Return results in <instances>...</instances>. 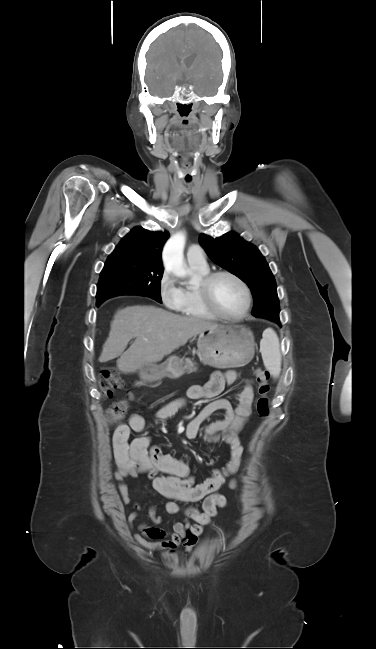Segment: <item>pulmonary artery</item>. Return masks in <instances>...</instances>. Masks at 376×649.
I'll list each match as a JSON object with an SVG mask.
<instances>
[{
  "instance_id": "1",
  "label": "pulmonary artery",
  "mask_w": 376,
  "mask_h": 649,
  "mask_svg": "<svg viewBox=\"0 0 376 649\" xmlns=\"http://www.w3.org/2000/svg\"><path fill=\"white\" fill-rule=\"evenodd\" d=\"M186 257L189 265L200 266V267L207 266L205 253L202 247L197 244H193L188 248Z\"/></svg>"
}]
</instances>
